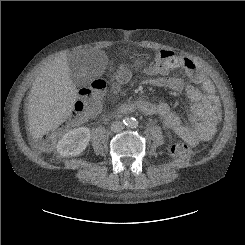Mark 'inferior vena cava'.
<instances>
[{
  "label": "inferior vena cava",
  "instance_id": "1",
  "mask_svg": "<svg viewBox=\"0 0 245 245\" xmlns=\"http://www.w3.org/2000/svg\"><path fill=\"white\" fill-rule=\"evenodd\" d=\"M123 129L122 123L120 121H115L111 124V131L120 132Z\"/></svg>",
  "mask_w": 245,
  "mask_h": 245
}]
</instances>
